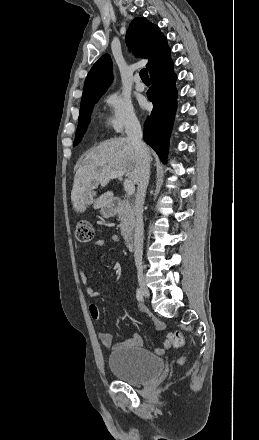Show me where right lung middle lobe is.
Instances as JSON below:
<instances>
[{
	"instance_id": "dd1d6c3e",
	"label": "right lung middle lobe",
	"mask_w": 259,
	"mask_h": 440,
	"mask_svg": "<svg viewBox=\"0 0 259 440\" xmlns=\"http://www.w3.org/2000/svg\"><path fill=\"white\" fill-rule=\"evenodd\" d=\"M99 99L91 100L88 102L81 103L80 105V114L78 118V127L76 130V136L73 143V146H76L82 139L83 135L87 130V126L90 122V114L92 112L94 104Z\"/></svg>"
}]
</instances>
